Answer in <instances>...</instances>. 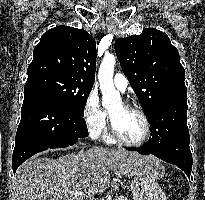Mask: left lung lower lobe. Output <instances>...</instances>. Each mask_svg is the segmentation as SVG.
<instances>
[{
  "label": "left lung lower lobe",
  "instance_id": "obj_1",
  "mask_svg": "<svg viewBox=\"0 0 205 200\" xmlns=\"http://www.w3.org/2000/svg\"><path fill=\"white\" fill-rule=\"evenodd\" d=\"M187 97L180 96L165 101L155 111L150 123L151 136L141 148H130L141 154L154 155L177 165L190 178L192 154L187 127ZM162 119V121H161Z\"/></svg>",
  "mask_w": 205,
  "mask_h": 200
}]
</instances>
